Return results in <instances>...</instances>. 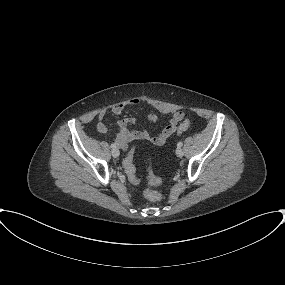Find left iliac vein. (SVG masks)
Instances as JSON below:
<instances>
[{"label":"left iliac vein","instance_id":"obj_1","mask_svg":"<svg viewBox=\"0 0 285 285\" xmlns=\"http://www.w3.org/2000/svg\"><path fill=\"white\" fill-rule=\"evenodd\" d=\"M176 155H177L178 157H182V156L184 155L183 150H182L181 148H177V149H176Z\"/></svg>","mask_w":285,"mask_h":285}]
</instances>
